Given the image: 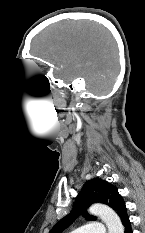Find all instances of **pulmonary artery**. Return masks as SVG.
Returning a JSON list of instances; mask_svg holds the SVG:
<instances>
[{"label":"pulmonary artery","instance_id":"e3ab8cb5","mask_svg":"<svg viewBox=\"0 0 145 233\" xmlns=\"http://www.w3.org/2000/svg\"><path fill=\"white\" fill-rule=\"evenodd\" d=\"M69 233H105V228L102 223H88L71 230Z\"/></svg>","mask_w":145,"mask_h":233}]
</instances>
